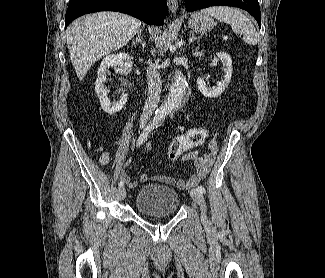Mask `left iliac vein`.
<instances>
[{"label": "left iliac vein", "mask_w": 325, "mask_h": 278, "mask_svg": "<svg viewBox=\"0 0 325 278\" xmlns=\"http://www.w3.org/2000/svg\"><path fill=\"white\" fill-rule=\"evenodd\" d=\"M190 195H191L192 199L200 206L202 220L206 221L207 220L206 203H205L203 194L201 192H199L198 190H192L190 192Z\"/></svg>", "instance_id": "1"}]
</instances>
